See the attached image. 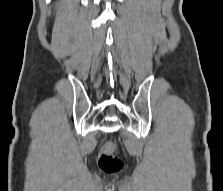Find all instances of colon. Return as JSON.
<instances>
[{
	"label": "colon",
	"mask_w": 223,
	"mask_h": 191,
	"mask_svg": "<svg viewBox=\"0 0 223 191\" xmlns=\"http://www.w3.org/2000/svg\"><path fill=\"white\" fill-rule=\"evenodd\" d=\"M114 149L115 144L109 143L101 152L98 161L100 169L108 174L118 173L124 167L123 162L112 154Z\"/></svg>",
	"instance_id": "1"
}]
</instances>
